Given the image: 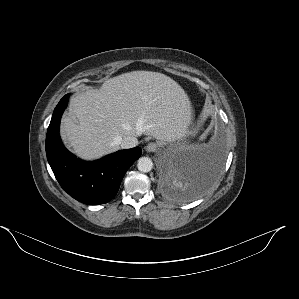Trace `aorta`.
Instances as JSON below:
<instances>
[{
  "label": "aorta",
  "instance_id": "762f6f07",
  "mask_svg": "<svg viewBox=\"0 0 299 299\" xmlns=\"http://www.w3.org/2000/svg\"><path fill=\"white\" fill-rule=\"evenodd\" d=\"M137 168L144 173L150 172L153 168V162L148 157H141L138 159Z\"/></svg>",
  "mask_w": 299,
  "mask_h": 299
}]
</instances>
